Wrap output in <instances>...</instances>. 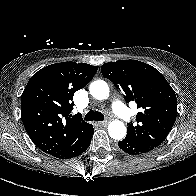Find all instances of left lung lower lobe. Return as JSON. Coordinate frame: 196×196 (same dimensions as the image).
<instances>
[{"label":"left lung lower lobe","instance_id":"left-lung-lower-lobe-1","mask_svg":"<svg viewBox=\"0 0 196 196\" xmlns=\"http://www.w3.org/2000/svg\"><path fill=\"white\" fill-rule=\"evenodd\" d=\"M120 149L130 155L143 154L151 151L152 147L138 143L130 138H125L118 143Z\"/></svg>","mask_w":196,"mask_h":196}]
</instances>
